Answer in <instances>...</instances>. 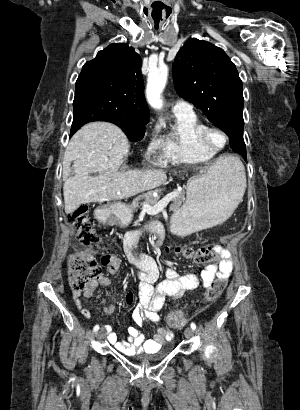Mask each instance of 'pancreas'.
Here are the masks:
<instances>
[{"instance_id":"obj_1","label":"pancreas","mask_w":300,"mask_h":410,"mask_svg":"<svg viewBox=\"0 0 300 410\" xmlns=\"http://www.w3.org/2000/svg\"><path fill=\"white\" fill-rule=\"evenodd\" d=\"M177 192H178V196L173 198L172 204L170 205V209L173 210V211L177 210L185 200V192L183 190L177 191ZM141 200H144L143 204L148 203V204L152 205V204H155L158 201V197H154L152 192L144 193V194L136 197L133 200V202L131 204V209L135 210V209L140 208V204H141L140 201Z\"/></svg>"}]
</instances>
